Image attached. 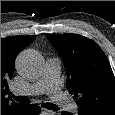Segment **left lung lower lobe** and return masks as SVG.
I'll return each instance as SVG.
<instances>
[{
    "label": "left lung lower lobe",
    "instance_id": "obj_1",
    "mask_svg": "<svg viewBox=\"0 0 115 115\" xmlns=\"http://www.w3.org/2000/svg\"><path fill=\"white\" fill-rule=\"evenodd\" d=\"M62 115H73V114L69 112H62Z\"/></svg>",
    "mask_w": 115,
    "mask_h": 115
}]
</instances>
